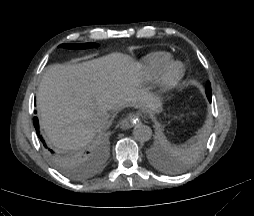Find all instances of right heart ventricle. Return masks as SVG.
<instances>
[{
    "label": "right heart ventricle",
    "mask_w": 254,
    "mask_h": 216,
    "mask_svg": "<svg viewBox=\"0 0 254 216\" xmlns=\"http://www.w3.org/2000/svg\"><path fill=\"white\" fill-rule=\"evenodd\" d=\"M171 61L167 52H153L146 55L141 61V77L144 81L155 80L166 64Z\"/></svg>",
    "instance_id": "right-heart-ventricle-1"
}]
</instances>
